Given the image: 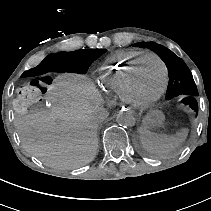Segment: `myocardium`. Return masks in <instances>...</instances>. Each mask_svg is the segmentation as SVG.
<instances>
[{"label":"myocardium","mask_w":211,"mask_h":211,"mask_svg":"<svg viewBox=\"0 0 211 211\" xmlns=\"http://www.w3.org/2000/svg\"><path fill=\"white\" fill-rule=\"evenodd\" d=\"M148 59L156 60L159 63V65L161 66L162 73H163V82H162V86H161L159 92L155 96H153L152 98L146 99V100H140L134 95V87H133L134 77H135V74L138 71L139 67L142 65V63ZM167 76H168V71H167L166 65L160 57H158L157 55H154V54L144 55L140 59L137 66H135L134 68L131 69V72L126 79L122 100L125 103L129 104L134 109L144 111V110H148V109L152 108L153 106L156 105V103L161 99V97L164 94L166 83H167Z\"/></svg>","instance_id":"1"}]
</instances>
